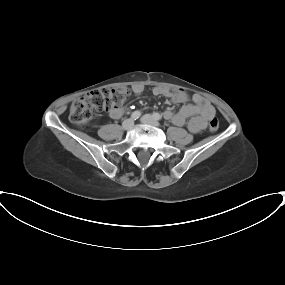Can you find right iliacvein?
I'll use <instances>...</instances> for the list:
<instances>
[{"label": "right iliac vein", "instance_id": "obj_1", "mask_svg": "<svg viewBox=\"0 0 285 285\" xmlns=\"http://www.w3.org/2000/svg\"><path fill=\"white\" fill-rule=\"evenodd\" d=\"M134 126V121L133 119H127L122 123V128L124 130H129L130 128H132Z\"/></svg>", "mask_w": 285, "mask_h": 285}]
</instances>
